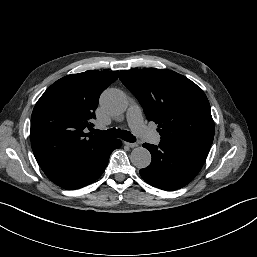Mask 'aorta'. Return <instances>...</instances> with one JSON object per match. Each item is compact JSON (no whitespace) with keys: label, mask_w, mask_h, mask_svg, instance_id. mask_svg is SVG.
<instances>
[{"label":"aorta","mask_w":257,"mask_h":257,"mask_svg":"<svg viewBox=\"0 0 257 257\" xmlns=\"http://www.w3.org/2000/svg\"><path fill=\"white\" fill-rule=\"evenodd\" d=\"M100 105L108 114L117 116L126 111L128 100L121 90L111 88L102 93ZM130 160L135 167L139 169L146 168L151 163V154L144 147H136L131 152Z\"/></svg>","instance_id":"762f6f07"}]
</instances>
